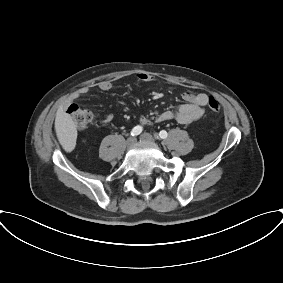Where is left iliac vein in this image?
<instances>
[{"label":"left iliac vein","mask_w":283,"mask_h":283,"mask_svg":"<svg viewBox=\"0 0 283 283\" xmlns=\"http://www.w3.org/2000/svg\"><path fill=\"white\" fill-rule=\"evenodd\" d=\"M140 139H141L142 141L149 142V143H154V142H155V139H154L153 136L150 135L149 133H143V134H141Z\"/></svg>","instance_id":"4c4485c4"}]
</instances>
